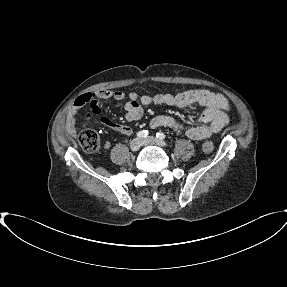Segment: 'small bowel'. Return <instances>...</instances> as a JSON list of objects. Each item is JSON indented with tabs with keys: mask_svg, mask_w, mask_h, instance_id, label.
<instances>
[{
	"mask_svg": "<svg viewBox=\"0 0 287 287\" xmlns=\"http://www.w3.org/2000/svg\"><path fill=\"white\" fill-rule=\"evenodd\" d=\"M114 99L124 102L125 118L128 121H136L143 114V106L150 104L169 105L178 108H187L198 104L204 107L203 112L198 118L200 123L197 126L183 128L176 120L170 116L158 115L152 118L150 126L152 128L170 127L179 133H184L188 138L193 140H203L220 132L228 122L226 111L229 108L228 101L220 94L204 91L189 90L172 94L139 95L135 91L125 93L123 91L99 90L95 93H85L79 96L71 108L67 120L66 131L70 135L77 132L76 120L79 112L85 105H89L90 112L84 117L82 124L85 126L93 116H99L100 122L111 130L122 134L130 135L132 129L129 126L118 124L102 114L100 100ZM110 144L105 143L108 149Z\"/></svg>",
	"mask_w": 287,
	"mask_h": 287,
	"instance_id": "obj_1",
	"label": "small bowel"
}]
</instances>
